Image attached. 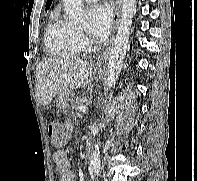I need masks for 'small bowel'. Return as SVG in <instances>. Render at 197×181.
I'll return each mask as SVG.
<instances>
[{"instance_id": "1", "label": "small bowel", "mask_w": 197, "mask_h": 181, "mask_svg": "<svg viewBox=\"0 0 197 181\" xmlns=\"http://www.w3.org/2000/svg\"><path fill=\"white\" fill-rule=\"evenodd\" d=\"M53 161L59 174V181H75L76 177L71 169L68 156L64 150H57L53 155Z\"/></svg>"}]
</instances>
